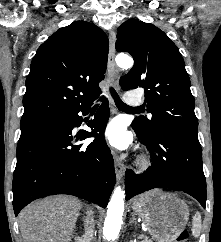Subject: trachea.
<instances>
[{"label": "trachea", "instance_id": "3493384b", "mask_svg": "<svg viewBox=\"0 0 221 242\" xmlns=\"http://www.w3.org/2000/svg\"><path fill=\"white\" fill-rule=\"evenodd\" d=\"M110 92L111 95L115 101L116 106L121 109V110H125V111H130V112H140L141 110L139 108H134L131 106H128L127 104H125L119 97V95L117 94V92L113 89L110 88ZM97 106V105H96Z\"/></svg>", "mask_w": 221, "mask_h": 242}]
</instances>
